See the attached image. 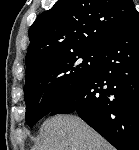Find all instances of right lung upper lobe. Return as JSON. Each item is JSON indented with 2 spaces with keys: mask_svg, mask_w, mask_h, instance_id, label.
<instances>
[{
  "mask_svg": "<svg viewBox=\"0 0 139 150\" xmlns=\"http://www.w3.org/2000/svg\"><path fill=\"white\" fill-rule=\"evenodd\" d=\"M135 11L132 0H58L29 29L26 76L56 57L100 51Z\"/></svg>",
  "mask_w": 139,
  "mask_h": 150,
  "instance_id": "obj_1",
  "label": "right lung upper lobe"
}]
</instances>
